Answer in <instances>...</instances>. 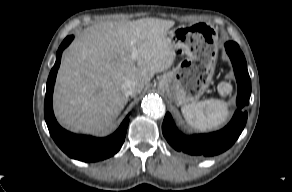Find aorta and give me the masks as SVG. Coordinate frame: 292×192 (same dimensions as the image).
I'll return each mask as SVG.
<instances>
[{
    "instance_id": "aorta-1",
    "label": "aorta",
    "mask_w": 292,
    "mask_h": 192,
    "mask_svg": "<svg viewBox=\"0 0 292 192\" xmlns=\"http://www.w3.org/2000/svg\"><path fill=\"white\" fill-rule=\"evenodd\" d=\"M141 107L143 111L154 117V118H160L165 113V108L163 107L162 99L158 96L149 95L146 96L141 103Z\"/></svg>"
}]
</instances>
